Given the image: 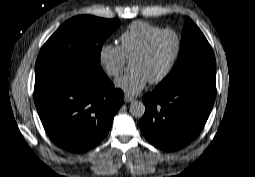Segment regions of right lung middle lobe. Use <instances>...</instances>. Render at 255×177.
I'll return each mask as SVG.
<instances>
[{"mask_svg": "<svg viewBox=\"0 0 255 177\" xmlns=\"http://www.w3.org/2000/svg\"><path fill=\"white\" fill-rule=\"evenodd\" d=\"M120 22L80 15L66 21L44 44L35 73L64 69L91 74L102 73L100 53L106 38Z\"/></svg>", "mask_w": 255, "mask_h": 177, "instance_id": "right-lung-middle-lobe-1", "label": "right lung middle lobe"}]
</instances>
